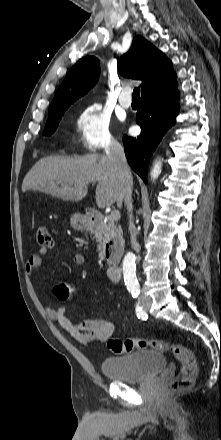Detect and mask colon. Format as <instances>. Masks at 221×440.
Segmentation results:
<instances>
[{
	"instance_id": "colon-1",
	"label": "colon",
	"mask_w": 221,
	"mask_h": 440,
	"mask_svg": "<svg viewBox=\"0 0 221 440\" xmlns=\"http://www.w3.org/2000/svg\"><path fill=\"white\" fill-rule=\"evenodd\" d=\"M35 237L37 244L41 248L49 249L52 247V238L46 226H38L35 231ZM74 293V286L68 281L61 282L55 288L56 296L63 301L71 300L74 297ZM71 312L74 315H78L79 318H86L88 315L86 309H79L77 306H74ZM108 348L118 355L149 348L159 352H168L179 359L182 367L179 375L166 386L168 393L189 389L195 382L197 376L195 355L190 349L181 344L145 338H127L124 340L110 339L108 341Z\"/></svg>"
}]
</instances>
